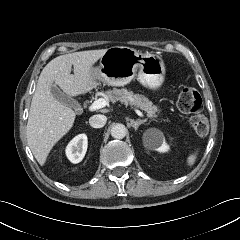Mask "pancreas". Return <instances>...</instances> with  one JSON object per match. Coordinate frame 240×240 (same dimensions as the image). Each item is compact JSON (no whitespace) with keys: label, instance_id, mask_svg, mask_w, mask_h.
Segmentation results:
<instances>
[{"label":"pancreas","instance_id":"1","mask_svg":"<svg viewBox=\"0 0 240 240\" xmlns=\"http://www.w3.org/2000/svg\"><path fill=\"white\" fill-rule=\"evenodd\" d=\"M104 97L113 103L120 101L123 104H129L140 108L142 111H145L147 113V116L149 118H156V113L160 112L159 108L153 105V103L149 101V99L144 95L134 94L132 91H128L125 88H113L112 90L106 91L104 93Z\"/></svg>","mask_w":240,"mask_h":240}]
</instances>
